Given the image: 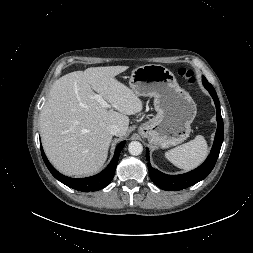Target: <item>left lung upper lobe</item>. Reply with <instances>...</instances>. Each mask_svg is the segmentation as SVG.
Masks as SVG:
<instances>
[{
  "label": "left lung upper lobe",
  "mask_w": 253,
  "mask_h": 253,
  "mask_svg": "<svg viewBox=\"0 0 253 253\" xmlns=\"http://www.w3.org/2000/svg\"><path fill=\"white\" fill-rule=\"evenodd\" d=\"M203 82H208L205 77L202 78Z\"/></svg>",
  "instance_id": "left-lung-upper-lobe-1"
}]
</instances>
